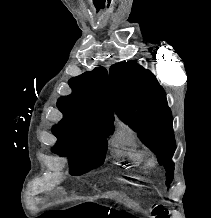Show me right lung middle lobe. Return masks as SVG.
<instances>
[{
  "label": "right lung middle lobe",
  "instance_id": "dd1d6c3e",
  "mask_svg": "<svg viewBox=\"0 0 211 218\" xmlns=\"http://www.w3.org/2000/svg\"><path fill=\"white\" fill-rule=\"evenodd\" d=\"M53 134L58 138V146L78 147L84 152L80 159L71 162L72 175L84 174L103 163L108 146L106 138L109 136L103 129L60 122L53 127Z\"/></svg>",
  "mask_w": 211,
  "mask_h": 218
}]
</instances>
